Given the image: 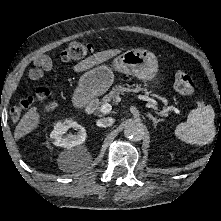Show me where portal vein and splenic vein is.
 <instances>
[{
  "label": "portal vein and splenic vein",
  "instance_id": "portal-vein-and-splenic-vein-1",
  "mask_svg": "<svg viewBox=\"0 0 221 221\" xmlns=\"http://www.w3.org/2000/svg\"><path fill=\"white\" fill-rule=\"evenodd\" d=\"M139 99L143 100V101H147L151 104V106H153L152 104H155V100L148 97V96H144V95H139L138 96ZM168 109L174 111L175 113L179 114L180 110L174 106H170ZM112 110V106L109 103L103 104L100 108V111L103 114H108L110 111Z\"/></svg>",
  "mask_w": 221,
  "mask_h": 221
}]
</instances>
